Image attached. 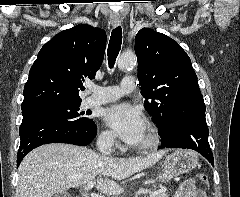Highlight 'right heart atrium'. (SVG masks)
Masks as SVG:
<instances>
[{
	"label": "right heart atrium",
	"mask_w": 240,
	"mask_h": 197,
	"mask_svg": "<svg viewBox=\"0 0 240 197\" xmlns=\"http://www.w3.org/2000/svg\"><path fill=\"white\" fill-rule=\"evenodd\" d=\"M99 143L108 148H113L116 145V136L112 131L104 130L99 135Z\"/></svg>",
	"instance_id": "obj_1"
}]
</instances>
